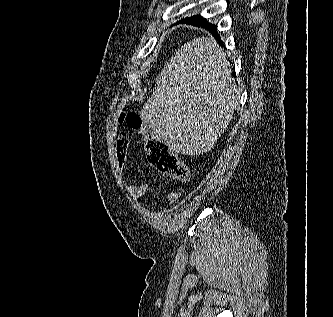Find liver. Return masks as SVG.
Segmentation results:
<instances>
[{"instance_id":"1","label":"liver","mask_w":333,"mask_h":317,"mask_svg":"<svg viewBox=\"0 0 333 317\" xmlns=\"http://www.w3.org/2000/svg\"><path fill=\"white\" fill-rule=\"evenodd\" d=\"M140 117L169 150L208 152L231 122L240 91L223 48L212 37L181 46L156 79Z\"/></svg>"}]
</instances>
